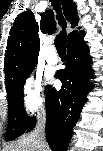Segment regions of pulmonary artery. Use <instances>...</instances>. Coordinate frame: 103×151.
<instances>
[{"label": "pulmonary artery", "instance_id": "1", "mask_svg": "<svg viewBox=\"0 0 103 151\" xmlns=\"http://www.w3.org/2000/svg\"><path fill=\"white\" fill-rule=\"evenodd\" d=\"M46 60L49 64H56L58 62V56L53 45L47 47Z\"/></svg>", "mask_w": 103, "mask_h": 151}]
</instances>
